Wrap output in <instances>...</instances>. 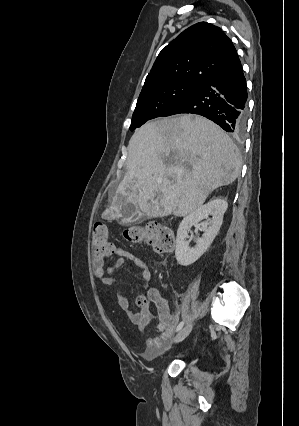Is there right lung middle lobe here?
Listing matches in <instances>:
<instances>
[{
    "label": "right lung middle lobe",
    "instance_id": "dd1d6c3e",
    "mask_svg": "<svg viewBox=\"0 0 299 426\" xmlns=\"http://www.w3.org/2000/svg\"><path fill=\"white\" fill-rule=\"evenodd\" d=\"M198 87L200 86L189 83H170L142 92L133 113L130 130H135L150 119L162 117Z\"/></svg>",
    "mask_w": 299,
    "mask_h": 426
}]
</instances>
